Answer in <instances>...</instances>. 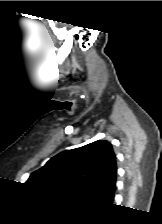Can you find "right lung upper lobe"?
Segmentation results:
<instances>
[{"label":"right lung upper lobe","mask_w":162,"mask_h":224,"mask_svg":"<svg viewBox=\"0 0 162 224\" xmlns=\"http://www.w3.org/2000/svg\"><path fill=\"white\" fill-rule=\"evenodd\" d=\"M116 178L112 145L95 141L57 154L33 172L26 183L35 189L79 196L98 204L112 201Z\"/></svg>","instance_id":"1"}]
</instances>
